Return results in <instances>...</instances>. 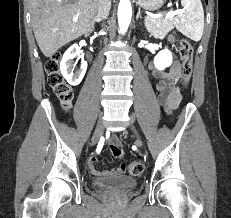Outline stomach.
Here are the masks:
<instances>
[{
    "mask_svg": "<svg viewBox=\"0 0 231 218\" xmlns=\"http://www.w3.org/2000/svg\"><path fill=\"white\" fill-rule=\"evenodd\" d=\"M137 4L149 11H156L162 7L164 0H137Z\"/></svg>",
    "mask_w": 231,
    "mask_h": 218,
    "instance_id": "stomach-1",
    "label": "stomach"
}]
</instances>
